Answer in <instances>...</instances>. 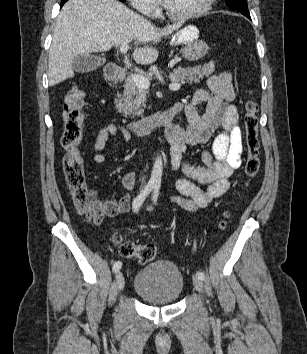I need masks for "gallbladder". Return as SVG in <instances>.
<instances>
[{"instance_id": "gallbladder-1", "label": "gallbladder", "mask_w": 307, "mask_h": 354, "mask_svg": "<svg viewBox=\"0 0 307 354\" xmlns=\"http://www.w3.org/2000/svg\"><path fill=\"white\" fill-rule=\"evenodd\" d=\"M105 58L87 54L78 55L72 60V67L75 71L86 73L97 69L99 66L104 65Z\"/></svg>"}]
</instances>
